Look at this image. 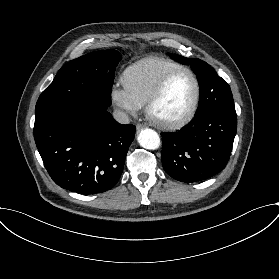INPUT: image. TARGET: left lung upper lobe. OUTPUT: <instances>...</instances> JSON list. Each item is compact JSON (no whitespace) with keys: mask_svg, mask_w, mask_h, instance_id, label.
<instances>
[{"mask_svg":"<svg viewBox=\"0 0 279 279\" xmlns=\"http://www.w3.org/2000/svg\"><path fill=\"white\" fill-rule=\"evenodd\" d=\"M169 56L182 64L191 65L197 76L200 97L195 116H200L208 111H220L236 115L229 85L218 76L210 65L200 59L185 58L170 53Z\"/></svg>","mask_w":279,"mask_h":279,"instance_id":"1","label":"left lung upper lobe"}]
</instances>
